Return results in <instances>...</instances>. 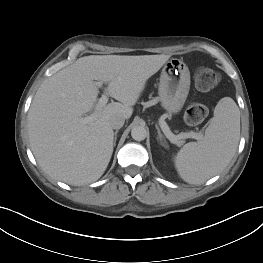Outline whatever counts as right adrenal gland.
<instances>
[{
  "instance_id": "2a0ac1e0",
  "label": "right adrenal gland",
  "mask_w": 263,
  "mask_h": 263,
  "mask_svg": "<svg viewBox=\"0 0 263 263\" xmlns=\"http://www.w3.org/2000/svg\"><path fill=\"white\" fill-rule=\"evenodd\" d=\"M117 133H118V130H116L114 133V146L116 145Z\"/></svg>"
}]
</instances>
